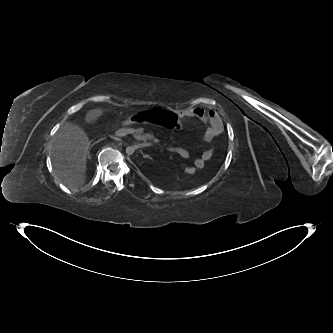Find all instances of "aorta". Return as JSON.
Segmentation results:
<instances>
[{
    "label": "aorta",
    "instance_id": "1",
    "mask_svg": "<svg viewBox=\"0 0 333 333\" xmlns=\"http://www.w3.org/2000/svg\"><path fill=\"white\" fill-rule=\"evenodd\" d=\"M135 152V147L134 146H127L126 147V153L128 155H132Z\"/></svg>",
    "mask_w": 333,
    "mask_h": 333
}]
</instances>
